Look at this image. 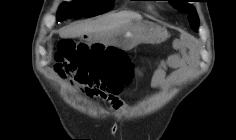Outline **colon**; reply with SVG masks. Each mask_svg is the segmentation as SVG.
Instances as JSON below:
<instances>
[{"label":"colon","mask_w":236,"mask_h":140,"mask_svg":"<svg viewBox=\"0 0 236 140\" xmlns=\"http://www.w3.org/2000/svg\"><path fill=\"white\" fill-rule=\"evenodd\" d=\"M132 70L130 58L120 49L74 40L59 42L55 71L76 80L88 95L113 101Z\"/></svg>","instance_id":"5ec220e1"}]
</instances>
